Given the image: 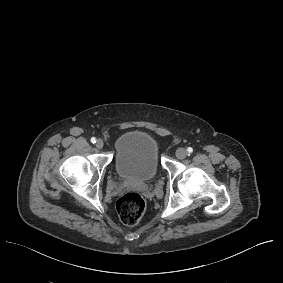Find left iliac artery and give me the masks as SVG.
<instances>
[{
    "label": "left iliac artery",
    "instance_id": "1",
    "mask_svg": "<svg viewBox=\"0 0 283 283\" xmlns=\"http://www.w3.org/2000/svg\"><path fill=\"white\" fill-rule=\"evenodd\" d=\"M187 151H188V153H192V152H193V149H192L191 147H189V148L187 149Z\"/></svg>",
    "mask_w": 283,
    "mask_h": 283
}]
</instances>
